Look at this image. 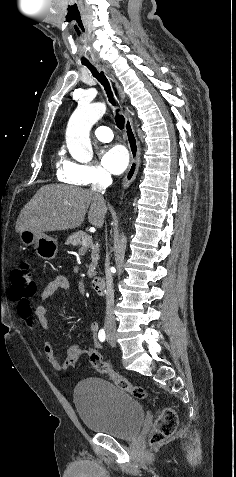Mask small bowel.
<instances>
[{
	"mask_svg": "<svg viewBox=\"0 0 236 477\" xmlns=\"http://www.w3.org/2000/svg\"><path fill=\"white\" fill-rule=\"evenodd\" d=\"M70 288L71 285L66 276H55L42 290L40 294L41 302L37 305V307L34 310L30 308L23 313L19 312L23 322L29 327H34L36 324H38L42 329L48 330V305L46 304V300L53 296L57 291H69ZM98 330V323L92 322L89 325V331L92 336L93 347L91 349H87L81 345L69 346L66 349V357L64 360H60L58 358L55 345L51 341H46L43 350L47 361L56 371L62 372L69 368H74L80 361L81 357L85 354L88 355L91 352L99 354L98 350L100 345L97 340Z\"/></svg>",
	"mask_w": 236,
	"mask_h": 477,
	"instance_id": "1",
	"label": "small bowel"
}]
</instances>
